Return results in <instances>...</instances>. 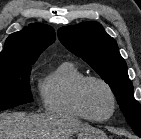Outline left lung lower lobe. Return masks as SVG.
Listing matches in <instances>:
<instances>
[{"label": "left lung lower lobe", "instance_id": "0a47b994", "mask_svg": "<svg viewBox=\"0 0 141 139\" xmlns=\"http://www.w3.org/2000/svg\"><path fill=\"white\" fill-rule=\"evenodd\" d=\"M139 137H141V133H136Z\"/></svg>", "mask_w": 141, "mask_h": 139}]
</instances>
